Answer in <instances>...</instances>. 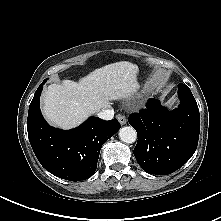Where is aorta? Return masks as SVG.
<instances>
[{
	"label": "aorta",
	"mask_w": 221,
	"mask_h": 221,
	"mask_svg": "<svg viewBox=\"0 0 221 221\" xmlns=\"http://www.w3.org/2000/svg\"><path fill=\"white\" fill-rule=\"evenodd\" d=\"M119 138L124 143H134L137 138L136 130L131 126H124L119 130Z\"/></svg>",
	"instance_id": "obj_1"
}]
</instances>
